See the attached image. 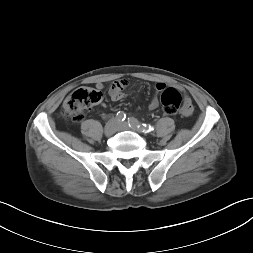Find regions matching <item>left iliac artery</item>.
Instances as JSON below:
<instances>
[{"mask_svg":"<svg viewBox=\"0 0 253 253\" xmlns=\"http://www.w3.org/2000/svg\"><path fill=\"white\" fill-rule=\"evenodd\" d=\"M128 125L131 127V128H138L140 129L142 132L144 133H149L151 131L154 130V127L151 126L150 124L148 123H143L141 124L136 118L134 117H130L128 118Z\"/></svg>","mask_w":253,"mask_h":253,"instance_id":"left-iliac-artery-1","label":"left iliac artery"}]
</instances>
